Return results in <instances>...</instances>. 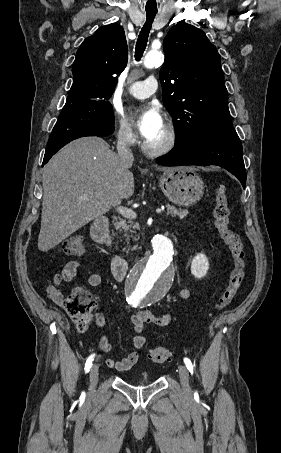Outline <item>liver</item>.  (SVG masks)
<instances>
[{
  "instance_id": "6515ba94",
  "label": "liver",
  "mask_w": 281,
  "mask_h": 453,
  "mask_svg": "<svg viewBox=\"0 0 281 453\" xmlns=\"http://www.w3.org/2000/svg\"><path fill=\"white\" fill-rule=\"evenodd\" d=\"M130 166L99 136L77 138L54 154L43 168L39 251L54 249L84 224L121 204L122 198H130L134 192Z\"/></svg>"
}]
</instances>
